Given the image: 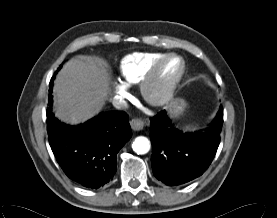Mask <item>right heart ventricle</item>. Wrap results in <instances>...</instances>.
Wrapping results in <instances>:
<instances>
[{
  "instance_id": "1",
  "label": "right heart ventricle",
  "mask_w": 277,
  "mask_h": 218,
  "mask_svg": "<svg viewBox=\"0 0 277 218\" xmlns=\"http://www.w3.org/2000/svg\"><path fill=\"white\" fill-rule=\"evenodd\" d=\"M165 53L136 52L125 56L120 64L121 75L127 85L141 84L151 66Z\"/></svg>"
}]
</instances>
